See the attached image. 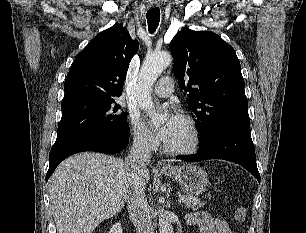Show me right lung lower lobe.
Wrapping results in <instances>:
<instances>
[{
	"label": "right lung lower lobe",
	"mask_w": 306,
	"mask_h": 233,
	"mask_svg": "<svg viewBox=\"0 0 306 233\" xmlns=\"http://www.w3.org/2000/svg\"><path fill=\"white\" fill-rule=\"evenodd\" d=\"M128 134H110L104 132H86L56 142L49 154V169L46 181L53 174L57 165L68 156L77 152L96 151L117 153L128 145Z\"/></svg>",
	"instance_id": "obj_1"
}]
</instances>
